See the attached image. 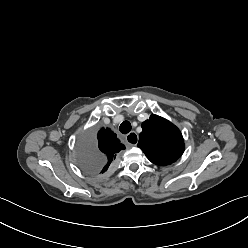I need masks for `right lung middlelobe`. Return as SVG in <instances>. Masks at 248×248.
<instances>
[{
	"label": "right lung middle lobe",
	"mask_w": 248,
	"mask_h": 248,
	"mask_svg": "<svg viewBox=\"0 0 248 248\" xmlns=\"http://www.w3.org/2000/svg\"><path fill=\"white\" fill-rule=\"evenodd\" d=\"M78 163L85 172L97 175L105 165V157L96 142L81 138L78 144Z\"/></svg>",
	"instance_id": "obj_1"
}]
</instances>
